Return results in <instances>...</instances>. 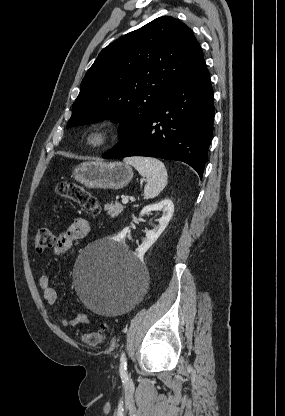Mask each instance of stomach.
<instances>
[{
  "label": "stomach",
  "mask_w": 285,
  "mask_h": 416,
  "mask_svg": "<svg viewBox=\"0 0 285 416\" xmlns=\"http://www.w3.org/2000/svg\"><path fill=\"white\" fill-rule=\"evenodd\" d=\"M74 180L86 188L121 190L133 178V170L122 162H83L73 172Z\"/></svg>",
  "instance_id": "1"
}]
</instances>
